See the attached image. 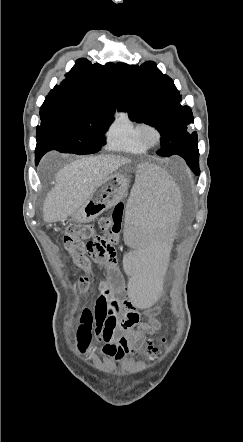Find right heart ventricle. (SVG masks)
Returning a JSON list of instances; mask_svg holds the SVG:
<instances>
[{"instance_id":"obj_1","label":"right heart ventricle","mask_w":243,"mask_h":442,"mask_svg":"<svg viewBox=\"0 0 243 442\" xmlns=\"http://www.w3.org/2000/svg\"><path fill=\"white\" fill-rule=\"evenodd\" d=\"M142 123L126 110L117 112L106 133L108 149L129 154L146 153L148 148L139 138Z\"/></svg>"}]
</instances>
